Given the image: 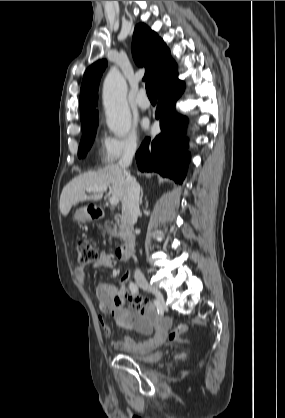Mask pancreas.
I'll return each mask as SVG.
<instances>
[{
    "label": "pancreas",
    "mask_w": 285,
    "mask_h": 418,
    "mask_svg": "<svg viewBox=\"0 0 285 418\" xmlns=\"http://www.w3.org/2000/svg\"><path fill=\"white\" fill-rule=\"evenodd\" d=\"M105 228H106L107 233H109L110 236L117 237L120 239L123 238V232L113 222H111L110 224L106 223Z\"/></svg>",
    "instance_id": "pancreas-1"
}]
</instances>
